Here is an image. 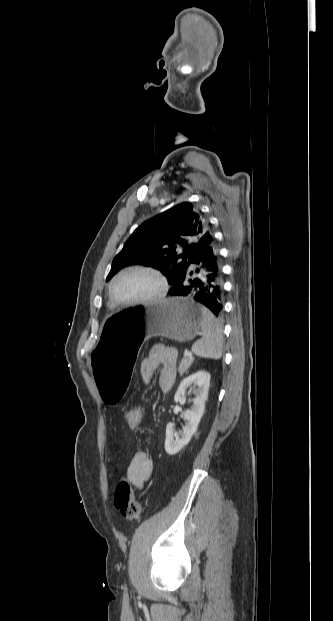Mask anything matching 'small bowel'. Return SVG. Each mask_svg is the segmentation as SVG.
Returning <instances> with one entry per match:
<instances>
[{
	"mask_svg": "<svg viewBox=\"0 0 333 621\" xmlns=\"http://www.w3.org/2000/svg\"><path fill=\"white\" fill-rule=\"evenodd\" d=\"M176 361L177 352L174 349L163 346L153 347L141 364V375L144 382H150L154 372L160 368L159 388L162 392L169 391L176 379ZM153 467L154 463L150 453L138 451L127 468L128 481L136 488L141 489L151 477Z\"/></svg>",
	"mask_w": 333,
	"mask_h": 621,
	"instance_id": "small-bowel-1",
	"label": "small bowel"
}]
</instances>
